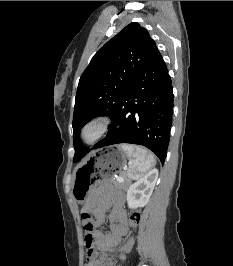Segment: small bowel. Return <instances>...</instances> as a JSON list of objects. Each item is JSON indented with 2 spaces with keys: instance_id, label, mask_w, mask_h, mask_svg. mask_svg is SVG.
Wrapping results in <instances>:
<instances>
[{
  "instance_id": "small-bowel-1",
  "label": "small bowel",
  "mask_w": 233,
  "mask_h": 266,
  "mask_svg": "<svg viewBox=\"0 0 233 266\" xmlns=\"http://www.w3.org/2000/svg\"><path fill=\"white\" fill-rule=\"evenodd\" d=\"M108 210L111 224L109 231L104 232L100 226L104 223ZM83 212L93 216L90 229L83 225L84 244L87 250L86 266H112L111 261L99 259L98 252L114 250L128 232L124 197L109 186H101L92 193Z\"/></svg>"
}]
</instances>
